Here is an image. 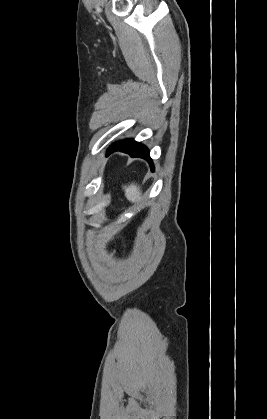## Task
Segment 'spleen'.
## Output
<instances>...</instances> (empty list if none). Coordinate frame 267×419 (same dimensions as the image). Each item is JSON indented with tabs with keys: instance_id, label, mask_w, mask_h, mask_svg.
Instances as JSON below:
<instances>
[{
	"instance_id": "3e777b00",
	"label": "spleen",
	"mask_w": 267,
	"mask_h": 419,
	"mask_svg": "<svg viewBox=\"0 0 267 419\" xmlns=\"http://www.w3.org/2000/svg\"><path fill=\"white\" fill-rule=\"evenodd\" d=\"M123 189L125 191V196L130 202H137L141 200V191L140 188L132 183L129 186H123Z\"/></svg>"
}]
</instances>
